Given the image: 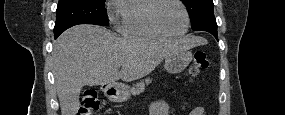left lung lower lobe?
<instances>
[{"label":"left lung lower lobe","mask_w":285,"mask_h":115,"mask_svg":"<svg viewBox=\"0 0 285 115\" xmlns=\"http://www.w3.org/2000/svg\"><path fill=\"white\" fill-rule=\"evenodd\" d=\"M197 31H206L211 33L217 40H218V36H217V23L216 21H211L208 23L203 24L202 26H200L198 28Z\"/></svg>","instance_id":"obj_1"}]
</instances>
